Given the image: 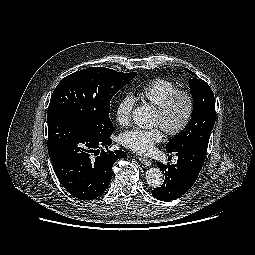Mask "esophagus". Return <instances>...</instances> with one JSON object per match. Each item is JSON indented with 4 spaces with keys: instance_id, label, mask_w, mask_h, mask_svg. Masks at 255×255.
Listing matches in <instances>:
<instances>
[{
    "instance_id": "esophagus-1",
    "label": "esophagus",
    "mask_w": 255,
    "mask_h": 255,
    "mask_svg": "<svg viewBox=\"0 0 255 255\" xmlns=\"http://www.w3.org/2000/svg\"><path fill=\"white\" fill-rule=\"evenodd\" d=\"M139 161L145 166H152V161L147 158H139Z\"/></svg>"
}]
</instances>
